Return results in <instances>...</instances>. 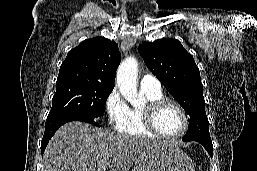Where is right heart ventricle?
<instances>
[{
  "instance_id": "obj_1",
  "label": "right heart ventricle",
  "mask_w": 257,
  "mask_h": 171,
  "mask_svg": "<svg viewBox=\"0 0 257 171\" xmlns=\"http://www.w3.org/2000/svg\"><path fill=\"white\" fill-rule=\"evenodd\" d=\"M140 93L145 103L164 97L161 89H147V88L141 87ZM121 132L131 136H140V137L154 136L150 132H148L144 126L143 107L134 106L129 108L127 121L124 128L121 130Z\"/></svg>"
}]
</instances>
